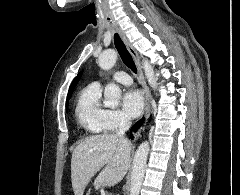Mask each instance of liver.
Listing matches in <instances>:
<instances>
[{
    "label": "liver",
    "mask_w": 240,
    "mask_h": 195,
    "mask_svg": "<svg viewBox=\"0 0 240 195\" xmlns=\"http://www.w3.org/2000/svg\"><path fill=\"white\" fill-rule=\"evenodd\" d=\"M131 151L132 143H125L116 133L85 137L72 153L71 179L75 195H83L87 183L101 167L96 177L97 187H111L121 181L130 167Z\"/></svg>",
    "instance_id": "obj_1"
}]
</instances>
